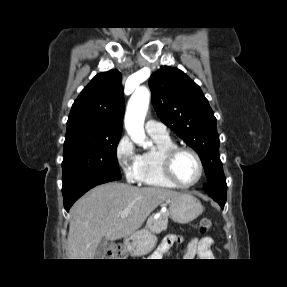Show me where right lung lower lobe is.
<instances>
[{
    "label": "right lung lower lobe",
    "mask_w": 287,
    "mask_h": 287,
    "mask_svg": "<svg viewBox=\"0 0 287 287\" xmlns=\"http://www.w3.org/2000/svg\"><path fill=\"white\" fill-rule=\"evenodd\" d=\"M113 180L106 177H84L69 183L62 188L65 210L69 211L73 203L89 189Z\"/></svg>",
    "instance_id": "98d812e1"
}]
</instances>
